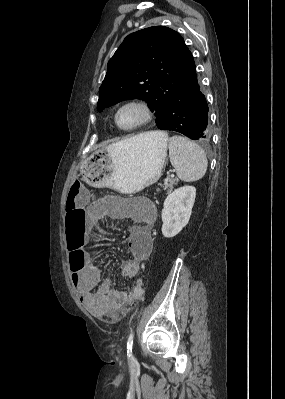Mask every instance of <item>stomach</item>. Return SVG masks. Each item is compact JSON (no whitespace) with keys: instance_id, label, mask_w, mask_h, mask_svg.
<instances>
[{"instance_id":"obj_1","label":"stomach","mask_w":285,"mask_h":399,"mask_svg":"<svg viewBox=\"0 0 285 399\" xmlns=\"http://www.w3.org/2000/svg\"><path fill=\"white\" fill-rule=\"evenodd\" d=\"M155 139L135 136L96 150L84 161L81 174L93 187H110L133 194L161 177L167 156L166 133L156 131Z\"/></svg>"}]
</instances>
